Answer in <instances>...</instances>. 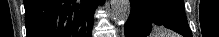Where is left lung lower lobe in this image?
<instances>
[{"instance_id":"left-lung-lower-lobe-1","label":"left lung lower lobe","mask_w":219,"mask_h":37,"mask_svg":"<svg viewBox=\"0 0 219 37\" xmlns=\"http://www.w3.org/2000/svg\"><path fill=\"white\" fill-rule=\"evenodd\" d=\"M131 12L125 37H146L152 26H165L184 37H192L185 9L172 0H130Z\"/></svg>"}]
</instances>
